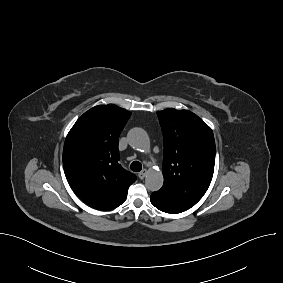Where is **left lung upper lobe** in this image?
Here are the masks:
<instances>
[{
	"instance_id": "5c2ea615",
	"label": "left lung upper lobe",
	"mask_w": 283,
	"mask_h": 283,
	"mask_svg": "<svg viewBox=\"0 0 283 283\" xmlns=\"http://www.w3.org/2000/svg\"><path fill=\"white\" fill-rule=\"evenodd\" d=\"M157 116L164 139V184L161 190L189 209L203 197L213 177V132L188 110L168 108L158 111Z\"/></svg>"
}]
</instances>
